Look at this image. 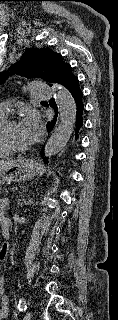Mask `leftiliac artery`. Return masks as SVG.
<instances>
[{
    "label": "left iliac artery",
    "mask_w": 118,
    "mask_h": 320,
    "mask_svg": "<svg viewBox=\"0 0 118 320\" xmlns=\"http://www.w3.org/2000/svg\"><path fill=\"white\" fill-rule=\"evenodd\" d=\"M18 309L19 311H25L27 309V303L24 297H21L19 299V303H18Z\"/></svg>",
    "instance_id": "44dca946"
}]
</instances>
